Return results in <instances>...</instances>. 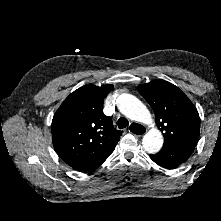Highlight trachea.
<instances>
[{
	"instance_id": "3493384b",
	"label": "trachea",
	"mask_w": 221,
	"mask_h": 221,
	"mask_svg": "<svg viewBox=\"0 0 221 221\" xmlns=\"http://www.w3.org/2000/svg\"><path fill=\"white\" fill-rule=\"evenodd\" d=\"M117 125H118L119 129H123V128H126L129 125V122L126 118L121 117V118L118 119Z\"/></svg>"
}]
</instances>
